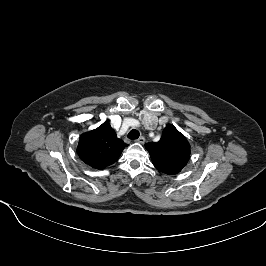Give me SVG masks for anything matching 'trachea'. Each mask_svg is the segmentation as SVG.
<instances>
[{"mask_svg": "<svg viewBox=\"0 0 266 266\" xmlns=\"http://www.w3.org/2000/svg\"><path fill=\"white\" fill-rule=\"evenodd\" d=\"M139 136H140V133L136 129H133L128 133V138L131 140H135L139 138Z\"/></svg>", "mask_w": 266, "mask_h": 266, "instance_id": "1", "label": "trachea"}]
</instances>
